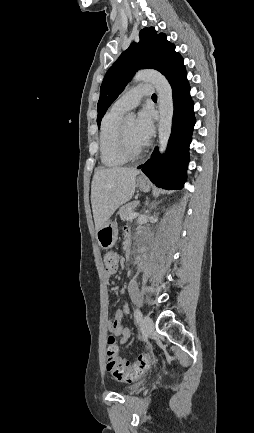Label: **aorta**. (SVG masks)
I'll return each mask as SVG.
<instances>
[{"instance_id":"obj_1","label":"aorta","mask_w":254,"mask_h":433,"mask_svg":"<svg viewBox=\"0 0 254 433\" xmlns=\"http://www.w3.org/2000/svg\"><path fill=\"white\" fill-rule=\"evenodd\" d=\"M133 81L150 82L156 88L160 114L158 126L159 152L163 154L166 151L172 130L174 112L172 88L165 76L156 70L139 71L134 76ZM127 117L133 119L135 116L131 113Z\"/></svg>"}]
</instances>
